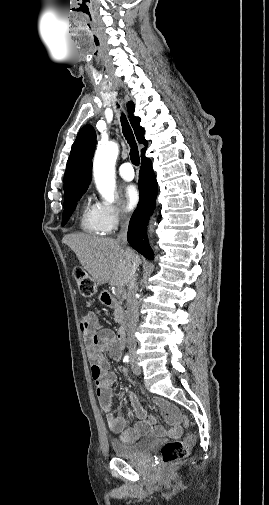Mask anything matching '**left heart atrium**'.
Here are the masks:
<instances>
[{"label":"left heart atrium","mask_w":269,"mask_h":505,"mask_svg":"<svg viewBox=\"0 0 269 505\" xmlns=\"http://www.w3.org/2000/svg\"><path fill=\"white\" fill-rule=\"evenodd\" d=\"M123 196H124V201H125L126 207L129 210L136 207V205L139 202V198H140L138 188L132 184L127 185L124 188Z\"/></svg>","instance_id":"39dd6f15"}]
</instances>
